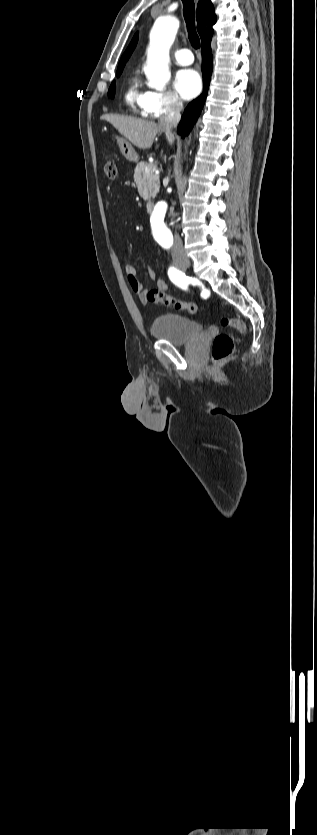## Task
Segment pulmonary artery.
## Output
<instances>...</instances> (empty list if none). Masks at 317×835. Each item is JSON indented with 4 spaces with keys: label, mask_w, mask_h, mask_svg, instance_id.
Listing matches in <instances>:
<instances>
[{
    "label": "pulmonary artery",
    "mask_w": 317,
    "mask_h": 835,
    "mask_svg": "<svg viewBox=\"0 0 317 835\" xmlns=\"http://www.w3.org/2000/svg\"><path fill=\"white\" fill-rule=\"evenodd\" d=\"M173 55L180 65H190L194 60L191 51L187 48L176 50Z\"/></svg>",
    "instance_id": "1"
}]
</instances>
